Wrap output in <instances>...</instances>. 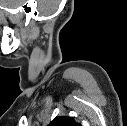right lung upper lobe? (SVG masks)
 I'll list each match as a JSON object with an SVG mask.
<instances>
[{
  "mask_svg": "<svg viewBox=\"0 0 127 126\" xmlns=\"http://www.w3.org/2000/svg\"><path fill=\"white\" fill-rule=\"evenodd\" d=\"M48 126H81L69 116H57Z\"/></svg>",
  "mask_w": 127,
  "mask_h": 126,
  "instance_id": "right-lung-upper-lobe-1",
  "label": "right lung upper lobe"
}]
</instances>
